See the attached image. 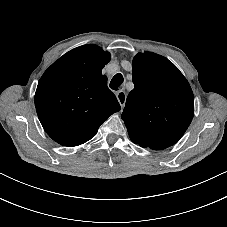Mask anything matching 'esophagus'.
Segmentation results:
<instances>
[{
  "label": "esophagus",
  "instance_id": "obj_1",
  "mask_svg": "<svg viewBox=\"0 0 227 227\" xmlns=\"http://www.w3.org/2000/svg\"><path fill=\"white\" fill-rule=\"evenodd\" d=\"M116 97L121 106V109L123 110L125 103H126V98H127L125 91H123V90L118 91L116 94Z\"/></svg>",
  "mask_w": 227,
  "mask_h": 227
}]
</instances>
